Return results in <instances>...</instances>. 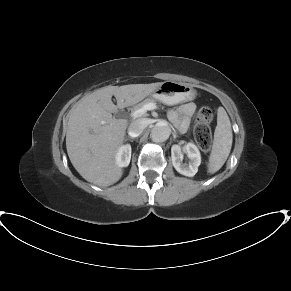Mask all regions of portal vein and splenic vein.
Returning a JSON list of instances; mask_svg holds the SVG:
<instances>
[{"label":"portal vein and splenic vein","mask_w":291,"mask_h":291,"mask_svg":"<svg viewBox=\"0 0 291 291\" xmlns=\"http://www.w3.org/2000/svg\"><path fill=\"white\" fill-rule=\"evenodd\" d=\"M154 109H156V104L155 103H148V104L142 106L141 108L133 111L131 113V116L133 118H138V117L143 116L147 111L154 110Z\"/></svg>","instance_id":"obj_1"}]
</instances>
